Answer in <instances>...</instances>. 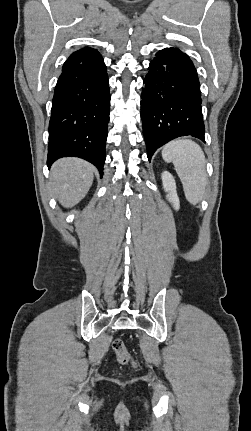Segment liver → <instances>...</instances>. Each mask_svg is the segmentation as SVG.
<instances>
[{
	"mask_svg": "<svg viewBox=\"0 0 251 431\" xmlns=\"http://www.w3.org/2000/svg\"><path fill=\"white\" fill-rule=\"evenodd\" d=\"M94 166L79 158L56 161L50 173V187L65 208L79 203L88 193L94 178Z\"/></svg>",
	"mask_w": 251,
	"mask_h": 431,
	"instance_id": "obj_1",
	"label": "liver"
}]
</instances>
